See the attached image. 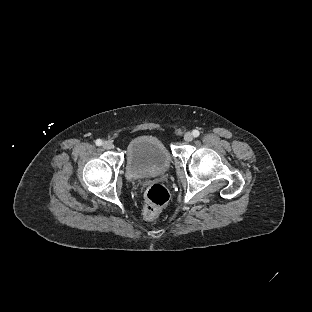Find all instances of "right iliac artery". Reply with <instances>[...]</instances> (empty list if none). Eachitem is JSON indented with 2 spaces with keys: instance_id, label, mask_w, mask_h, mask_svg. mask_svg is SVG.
I'll use <instances>...</instances> for the list:
<instances>
[{
  "instance_id": "1",
  "label": "right iliac artery",
  "mask_w": 312,
  "mask_h": 312,
  "mask_svg": "<svg viewBox=\"0 0 312 312\" xmlns=\"http://www.w3.org/2000/svg\"><path fill=\"white\" fill-rule=\"evenodd\" d=\"M95 143L97 146H101L103 142L101 139H97Z\"/></svg>"
}]
</instances>
